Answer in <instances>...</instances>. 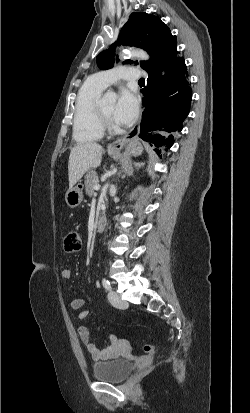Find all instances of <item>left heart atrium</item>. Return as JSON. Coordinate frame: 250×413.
<instances>
[{
  "instance_id": "1",
  "label": "left heart atrium",
  "mask_w": 250,
  "mask_h": 413,
  "mask_svg": "<svg viewBox=\"0 0 250 413\" xmlns=\"http://www.w3.org/2000/svg\"><path fill=\"white\" fill-rule=\"evenodd\" d=\"M138 111L139 101L136 95L129 89H122L115 105V120L121 124H129L136 119Z\"/></svg>"
}]
</instances>
